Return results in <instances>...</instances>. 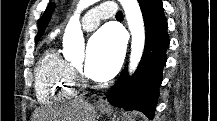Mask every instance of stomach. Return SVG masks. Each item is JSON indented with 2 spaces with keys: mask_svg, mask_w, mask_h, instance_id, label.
<instances>
[{
  "mask_svg": "<svg viewBox=\"0 0 217 121\" xmlns=\"http://www.w3.org/2000/svg\"><path fill=\"white\" fill-rule=\"evenodd\" d=\"M98 111H99L101 114H104V113L108 112V109H107V108H103V107H98Z\"/></svg>",
  "mask_w": 217,
  "mask_h": 121,
  "instance_id": "0dacf381",
  "label": "stomach"
}]
</instances>
